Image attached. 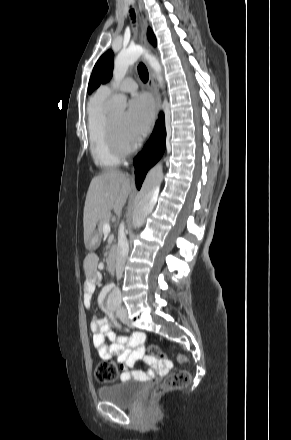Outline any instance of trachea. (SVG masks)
I'll return each instance as SVG.
<instances>
[{"mask_svg": "<svg viewBox=\"0 0 291 440\" xmlns=\"http://www.w3.org/2000/svg\"><path fill=\"white\" fill-rule=\"evenodd\" d=\"M130 16H131L132 20L134 21L135 20V13H134L133 9L130 10ZM138 74L143 82L148 81V79H149L148 70L143 63H140L138 66Z\"/></svg>", "mask_w": 291, "mask_h": 440, "instance_id": "obj_1", "label": "trachea"}]
</instances>
